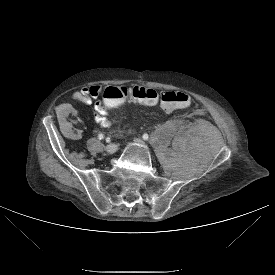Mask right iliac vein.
<instances>
[{
    "label": "right iliac vein",
    "mask_w": 275,
    "mask_h": 275,
    "mask_svg": "<svg viewBox=\"0 0 275 275\" xmlns=\"http://www.w3.org/2000/svg\"><path fill=\"white\" fill-rule=\"evenodd\" d=\"M105 151L107 154L111 155L117 151V145L112 143L106 146Z\"/></svg>",
    "instance_id": "1"
}]
</instances>
